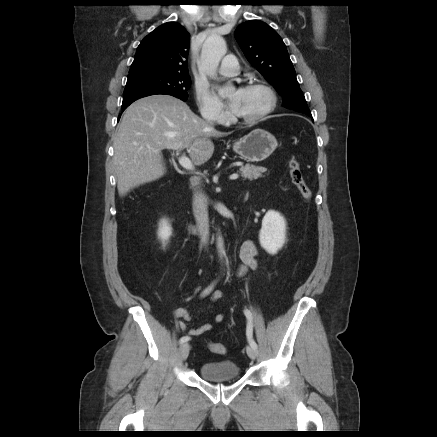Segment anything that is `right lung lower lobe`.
Wrapping results in <instances>:
<instances>
[{"label": "right lung lower lobe", "mask_w": 437, "mask_h": 437, "mask_svg": "<svg viewBox=\"0 0 437 437\" xmlns=\"http://www.w3.org/2000/svg\"><path fill=\"white\" fill-rule=\"evenodd\" d=\"M129 106V105H128ZM128 106H123L122 111H124Z\"/></svg>", "instance_id": "obj_1"}]
</instances>
